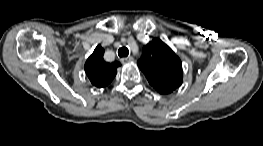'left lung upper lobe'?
<instances>
[{"instance_id": "1", "label": "left lung upper lobe", "mask_w": 263, "mask_h": 146, "mask_svg": "<svg viewBox=\"0 0 263 146\" xmlns=\"http://www.w3.org/2000/svg\"><path fill=\"white\" fill-rule=\"evenodd\" d=\"M138 66L160 94L172 93L183 81L182 63L172 49L158 38L143 47Z\"/></svg>"}]
</instances>
